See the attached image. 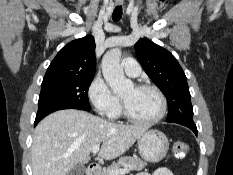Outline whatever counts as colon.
Here are the masks:
<instances>
[{"label":"colon","mask_w":233,"mask_h":175,"mask_svg":"<svg viewBox=\"0 0 233 175\" xmlns=\"http://www.w3.org/2000/svg\"><path fill=\"white\" fill-rule=\"evenodd\" d=\"M189 144L184 141H175L173 144V152L176 158H184L189 153Z\"/></svg>","instance_id":"obj_1"}]
</instances>
